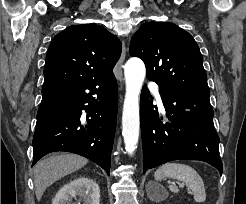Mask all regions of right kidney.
Returning a JSON list of instances; mask_svg holds the SVG:
<instances>
[{"label":"right kidney","instance_id":"1","mask_svg":"<svg viewBox=\"0 0 246 204\" xmlns=\"http://www.w3.org/2000/svg\"><path fill=\"white\" fill-rule=\"evenodd\" d=\"M77 196L84 201V204H99L100 188L95 181L87 177H78L57 192L52 204H69L72 198Z\"/></svg>","mask_w":246,"mask_h":204}]
</instances>
